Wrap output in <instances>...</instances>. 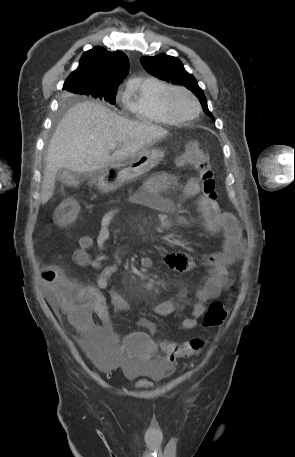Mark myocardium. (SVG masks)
Returning <instances> with one entry per match:
<instances>
[{"label":"myocardium","mask_w":295,"mask_h":457,"mask_svg":"<svg viewBox=\"0 0 295 457\" xmlns=\"http://www.w3.org/2000/svg\"><path fill=\"white\" fill-rule=\"evenodd\" d=\"M176 93H184L192 99V101L195 104V112L192 116L184 117V116L177 114V112L175 111L173 104H172V98H173L174 94H176ZM162 101H163L166 111L178 122L192 121L200 114V111H201V105H200L198 98L195 96V94L193 92H191L190 90H188L187 88H184V87L170 86L163 93Z\"/></svg>","instance_id":"myocardium-1"}]
</instances>
